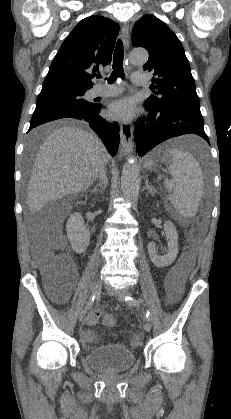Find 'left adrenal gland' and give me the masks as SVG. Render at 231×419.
I'll list each match as a JSON object with an SVG mask.
<instances>
[{"label": "left adrenal gland", "mask_w": 231, "mask_h": 419, "mask_svg": "<svg viewBox=\"0 0 231 419\" xmlns=\"http://www.w3.org/2000/svg\"><path fill=\"white\" fill-rule=\"evenodd\" d=\"M143 190H147L150 194L154 195V190L152 186H149L148 180H146L145 187L143 188Z\"/></svg>", "instance_id": "left-adrenal-gland-1"}]
</instances>
